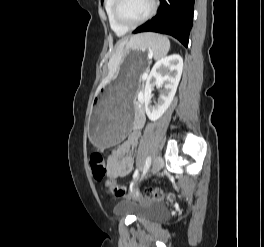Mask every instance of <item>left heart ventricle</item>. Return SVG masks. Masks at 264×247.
Listing matches in <instances>:
<instances>
[{
    "mask_svg": "<svg viewBox=\"0 0 264 247\" xmlns=\"http://www.w3.org/2000/svg\"><path fill=\"white\" fill-rule=\"evenodd\" d=\"M150 9V0H123L121 15L128 22L143 18Z\"/></svg>",
    "mask_w": 264,
    "mask_h": 247,
    "instance_id": "left-heart-ventricle-1",
    "label": "left heart ventricle"
}]
</instances>
